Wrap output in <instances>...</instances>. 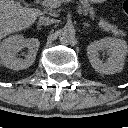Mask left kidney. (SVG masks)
<instances>
[{"label": "left kidney", "mask_w": 128, "mask_h": 128, "mask_svg": "<svg viewBox=\"0 0 128 128\" xmlns=\"http://www.w3.org/2000/svg\"><path fill=\"white\" fill-rule=\"evenodd\" d=\"M106 51L108 58L103 61L99 53ZM128 45L125 40L105 37L94 41L87 47L88 59L92 67L101 74H114L123 69Z\"/></svg>", "instance_id": "left-kidney-1"}]
</instances>
